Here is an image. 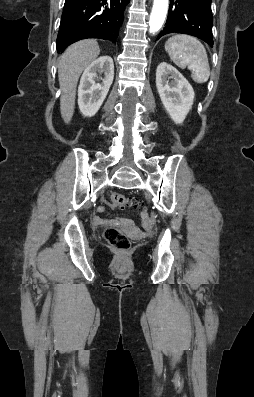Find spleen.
<instances>
[{"instance_id": "3e777b00", "label": "spleen", "mask_w": 254, "mask_h": 397, "mask_svg": "<svg viewBox=\"0 0 254 397\" xmlns=\"http://www.w3.org/2000/svg\"><path fill=\"white\" fill-rule=\"evenodd\" d=\"M165 50L170 59L180 68L186 66L192 72L196 83H205L210 76L208 56L203 44L195 37L177 34L165 43Z\"/></svg>"}]
</instances>
